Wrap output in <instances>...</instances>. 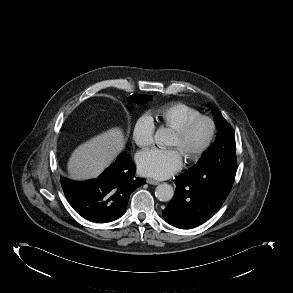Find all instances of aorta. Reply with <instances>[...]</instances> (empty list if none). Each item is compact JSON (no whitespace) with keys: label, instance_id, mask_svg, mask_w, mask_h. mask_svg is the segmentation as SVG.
I'll use <instances>...</instances> for the list:
<instances>
[{"label":"aorta","instance_id":"762f6f07","mask_svg":"<svg viewBox=\"0 0 293 293\" xmlns=\"http://www.w3.org/2000/svg\"><path fill=\"white\" fill-rule=\"evenodd\" d=\"M154 139L160 147L169 146L171 143V131L167 128H159L155 133ZM173 195V187L167 183L160 184L156 187L155 196L160 201H170Z\"/></svg>","mask_w":293,"mask_h":293}]
</instances>
